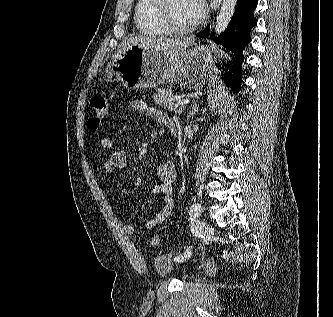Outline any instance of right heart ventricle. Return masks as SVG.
Listing matches in <instances>:
<instances>
[{
	"instance_id": "1",
	"label": "right heart ventricle",
	"mask_w": 333,
	"mask_h": 317,
	"mask_svg": "<svg viewBox=\"0 0 333 317\" xmlns=\"http://www.w3.org/2000/svg\"><path fill=\"white\" fill-rule=\"evenodd\" d=\"M154 0H138L135 7L137 30L147 36H166L168 32L158 23L153 12Z\"/></svg>"
}]
</instances>
